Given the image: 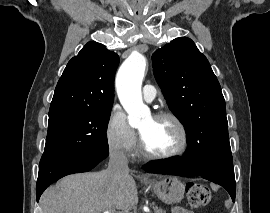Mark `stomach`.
I'll list each match as a JSON object with an SVG mask.
<instances>
[{
    "label": "stomach",
    "instance_id": "0dacf381",
    "mask_svg": "<svg viewBox=\"0 0 270 213\" xmlns=\"http://www.w3.org/2000/svg\"><path fill=\"white\" fill-rule=\"evenodd\" d=\"M148 185L167 204L178 203L184 197L185 185L177 177L165 176L161 180L153 181Z\"/></svg>",
    "mask_w": 270,
    "mask_h": 213
}]
</instances>
